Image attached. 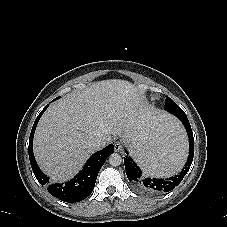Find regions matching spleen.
I'll list each match as a JSON object with an SVG mask.
<instances>
[{
	"mask_svg": "<svg viewBox=\"0 0 227 227\" xmlns=\"http://www.w3.org/2000/svg\"><path fill=\"white\" fill-rule=\"evenodd\" d=\"M188 138L181 122L164 115L137 129L126 148L129 159L152 176H171L184 165Z\"/></svg>",
	"mask_w": 227,
	"mask_h": 227,
	"instance_id": "3e777b00",
	"label": "spleen"
}]
</instances>
